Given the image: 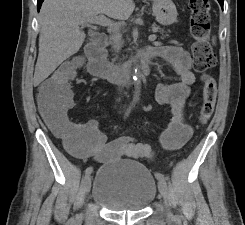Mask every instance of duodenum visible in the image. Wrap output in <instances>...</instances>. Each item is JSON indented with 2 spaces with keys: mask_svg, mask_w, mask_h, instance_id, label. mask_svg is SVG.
<instances>
[{
  "mask_svg": "<svg viewBox=\"0 0 245 225\" xmlns=\"http://www.w3.org/2000/svg\"><path fill=\"white\" fill-rule=\"evenodd\" d=\"M106 40V36L102 34L86 45L88 71L90 74L108 78L116 83L129 84L138 73L146 74L149 71L154 58L152 52H145L126 64L108 63L104 50Z\"/></svg>",
  "mask_w": 245,
  "mask_h": 225,
  "instance_id": "1",
  "label": "duodenum"
}]
</instances>
